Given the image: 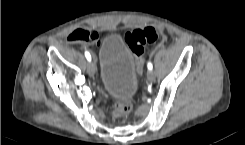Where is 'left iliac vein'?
<instances>
[{
    "mask_svg": "<svg viewBox=\"0 0 245 145\" xmlns=\"http://www.w3.org/2000/svg\"><path fill=\"white\" fill-rule=\"evenodd\" d=\"M147 78L150 80V81H153L155 79V72L150 70L148 71L147 73Z\"/></svg>",
    "mask_w": 245,
    "mask_h": 145,
    "instance_id": "left-iliac-vein-1",
    "label": "left iliac vein"
}]
</instances>
